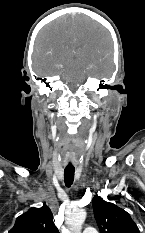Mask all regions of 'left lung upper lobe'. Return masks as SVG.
<instances>
[{"label":"left lung upper lobe","mask_w":145,"mask_h":233,"mask_svg":"<svg viewBox=\"0 0 145 233\" xmlns=\"http://www.w3.org/2000/svg\"><path fill=\"white\" fill-rule=\"evenodd\" d=\"M94 216L101 233H140L129 213L98 195L93 198Z\"/></svg>","instance_id":"obj_1"}]
</instances>
